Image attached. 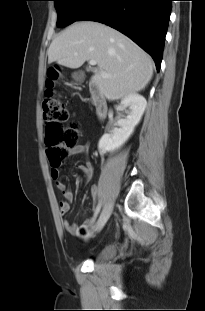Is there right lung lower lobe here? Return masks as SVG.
Segmentation results:
<instances>
[{
    "label": "right lung lower lobe",
    "instance_id": "obj_1",
    "mask_svg": "<svg viewBox=\"0 0 205 311\" xmlns=\"http://www.w3.org/2000/svg\"><path fill=\"white\" fill-rule=\"evenodd\" d=\"M173 0H98L77 21H96L124 33L154 59L160 69Z\"/></svg>",
    "mask_w": 205,
    "mask_h": 311
}]
</instances>
